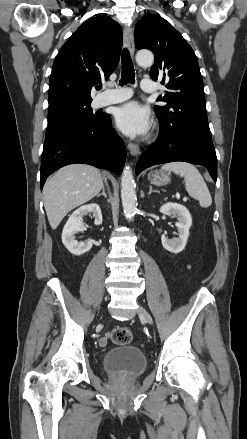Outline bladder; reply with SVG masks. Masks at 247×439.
Wrapping results in <instances>:
<instances>
[{
  "label": "bladder",
  "instance_id": "obj_1",
  "mask_svg": "<svg viewBox=\"0 0 247 439\" xmlns=\"http://www.w3.org/2000/svg\"><path fill=\"white\" fill-rule=\"evenodd\" d=\"M105 371L119 378H134L142 374L147 366V359L141 349L135 346H123L109 350L103 356Z\"/></svg>",
  "mask_w": 247,
  "mask_h": 439
}]
</instances>
